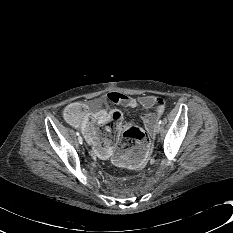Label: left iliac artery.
Segmentation results:
<instances>
[{"label":"left iliac artery","instance_id":"44dca946","mask_svg":"<svg viewBox=\"0 0 233 233\" xmlns=\"http://www.w3.org/2000/svg\"><path fill=\"white\" fill-rule=\"evenodd\" d=\"M159 124H162V120L159 121Z\"/></svg>","mask_w":233,"mask_h":233}]
</instances>
